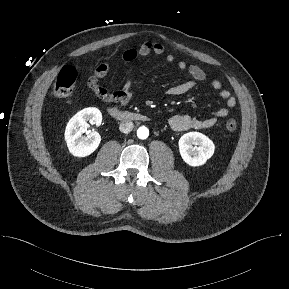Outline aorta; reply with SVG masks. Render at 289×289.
<instances>
[{
    "label": "aorta",
    "mask_w": 289,
    "mask_h": 289,
    "mask_svg": "<svg viewBox=\"0 0 289 289\" xmlns=\"http://www.w3.org/2000/svg\"><path fill=\"white\" fill-rule=\"evenodd\" d=\"M137 136L139 139H146L149 136L148 128H146L144 126L139 127L137 130Z\"/></svg>",
    "instance_id": "762f6f07"
}]
</instances>
